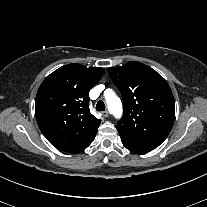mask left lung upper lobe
I'll use <instances>...</instances> for the list:
<instances>
[{
	"label": "left lung upper lobe",
	"instance_id": "obj_1",
	"mask_svg": "<svg viewBox=\"0 0 207 207\" xmlns=\"http://www.w3.org/2000/svg\"><path fill=\"white\" fill-rule=\"evenodd\" d=\"M108 73L124 101V115L116 126L119 134L159 146L171 131L175 117L173 94L165 79L136 61L109 67Z\"/></svg>",
	"mask_w": 207,
	"mask_h": 207
}]
</instances>
